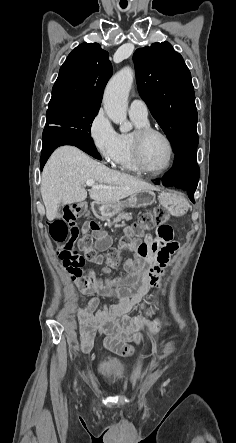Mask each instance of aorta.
I'll return each mask as SVG.
<instances>
[{
    "instance_id": "1",
    "label": "aorta",
    "mask_w": 236,
    "mask_h": 443,
    "mask_svg": "<svg viewBox=\"0 0 236 443\" xmlns=\"http://www.w3.org/2000/svg\"><path fill=\"white\" fill-rule=\"evenodd\" d=\"M133 80V70L125 67L111 78L104 91V110L107 116L119 125L121 132H128L132 129V124L127 120V107Z\"/></svg>"
}]
</instances>
